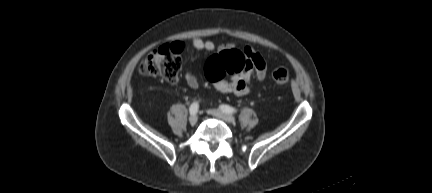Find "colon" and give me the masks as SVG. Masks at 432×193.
Wrapping results in <instances>:
<instances>
[{
    "instance_id": "5ec220e1",
    "label": "colon",
    "mask_w": 432,
    "mask_h": 193,
    "mask_svg": "<svg viewBox=\"0 0 432 193\" xmlns=\"http://www.w3.org/2000/svg\"><path fill=\"white\" fill-rule=\"evenodd\" d=\"M182 50L178 43L162 45L141 61L139 71L174 82L182 65ZM247 66L248 60L243 51L229 49L211 56L206 62L205 72L212 82H216L226 75L241 73ZM272 79L277 85H285L290 81V74L285 68H278L273 71Z\"/></svg>"
}]
</instances>
